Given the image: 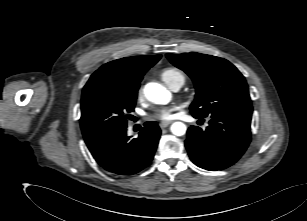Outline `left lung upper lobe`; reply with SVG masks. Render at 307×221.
Returning <instances> with one entry per match:
<instances>
[{
  "label": "left lung upper lobe",
  "instance_id": "5c2ea615",
  "mask_svg": "<svg viewBox=\"0 0 307 221\" xmlns=\"http://www.w3.org/2000/svg\"><path fill=\"white\" fill-rule=\"evenodd\" d=\"M166 56L194 82L196 95L190 106L194 117L204 118L224 112L252 115L246 80L229 61L194 52Z\"/></svg>",
  "mask_w": 307,
  "mask_h": 221
}]
</instances>
